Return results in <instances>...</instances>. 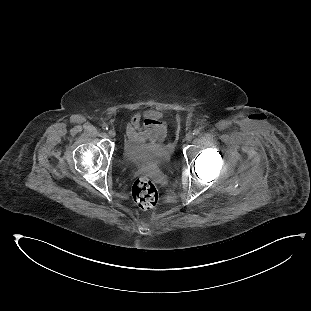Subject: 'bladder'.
<instances>
[{
  "instance_id": "1",
  "label": "bladder",
  "mask_w": 311,
  "mask_h": 311,
  "mask_svg": "<svg viewBox=\"0 0 311 311\" xmlns=\"http://www.w3.org/2000/svg\"><path fill=\"white\" fill-rule=\"evenodd\" d=\"M120 152L127 163L137 166L141 171H155L167 166L172 159V146L169 143L131 148L127 141H124Z\"/></svg>"
}]
</instances>
